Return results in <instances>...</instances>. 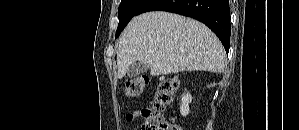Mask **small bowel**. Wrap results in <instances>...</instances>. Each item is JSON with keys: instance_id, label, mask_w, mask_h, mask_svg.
Instances as JSON below:
<instances>
[{"instance_id": "obj_1", "label": "small bowel", "mask_w": 299, "mask_h": 130, "mask_svg": "<svg viewBox=\"0 0 299 130\" xmlns=\"http://www.w3.org/2000/svg\"><path fill=\"white\" fill-rule=\"evenodd\" d=\"M140 116V110L130 111L125 115V120L129 123H132Z\"/></svg>"}]
</instances>
